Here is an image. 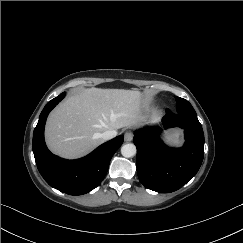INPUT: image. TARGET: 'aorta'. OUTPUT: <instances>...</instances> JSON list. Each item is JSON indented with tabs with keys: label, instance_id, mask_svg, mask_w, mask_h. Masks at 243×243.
<instances>
[{
	"label": "aorta",
	"instance_id": "762f6f07",
	"mask_svg": "<svg viewBox=\"0 0 243 243\" xmlns=\"http://www.w3.org/2000/svg\"><path fill=\"white\" fill-rule=\"evenodd\" d=\"M121 154L126 158L133 157L136 155V146L132 143L124 144L121 147Z\"/></svg>",
	"mask_w": 243,
	"mask_h": 243
}]
</instances>
